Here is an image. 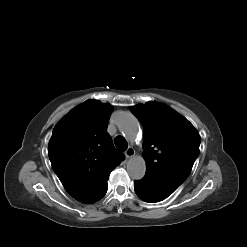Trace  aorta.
<instances>
[{
	"instance_id": "1",
	"label": "aorta",
	"mask_w": 247,
	"mask_h": 247,
	"mask_svg": "<svg viewBox=\"0 0 247 247\" xmlns=\"http://www.w3.org/2000/svg\"><path fill=\"white\" fill-rule=\"evenodd\" d=\"M116 123L120 132L130 141L135 142L138 137L139 123L137 118L130 112H122L118 114ZM146 171L145 161L140 156L129 159L127 163V172L129 176L135 180L144 177Z\"/></svg>"
}]
</instances>
